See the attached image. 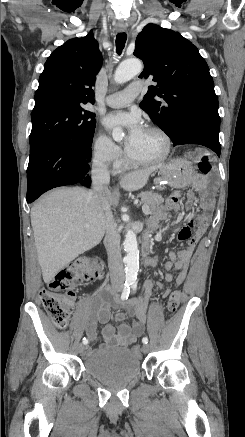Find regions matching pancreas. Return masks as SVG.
<instances>
[{
    "label": "pancreas",
    "instance_id": "cf45deb5",
    "mask_svg": "<svg viewBox=\"0 0 245 437\" xmlns=\"http://www.w3.org/2000/svg\"><path fill=\"white\" fill-rule=\"evenodd\" d=\"M139 197L141 198L140 204L148 206L151 210L155 209L163 201L162 196L153 191L141 192Z\"/></svg>",
    "mask_w": 245,
    "mask_h": 437
}]
</instances>
